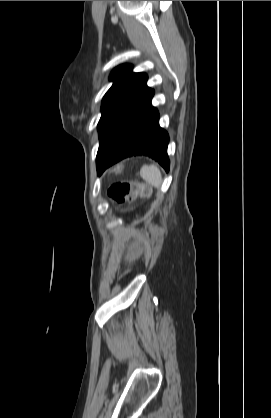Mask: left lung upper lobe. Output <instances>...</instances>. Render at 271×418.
Here are the masks:
<instances>
[{
    "label": "left lung upper lobe",
    "mask_w": 271,
    "mask_h": 418,
    "mask_svg": "<svg viewBox=\"0 0 271 418\" xmlns=\"http://www.w3.org/2000/svg\"><path fill=\"white\" fill-rule=\"evenodd\" d=\"M110 79L113 85L102 100L101 118L98 123L100 144L113 129L129 114L151 91L147 86L145 73H133L131 65L115 68Z\"/></svg>",
    "instance_id": "5c2ea615"
}]
</instances>
